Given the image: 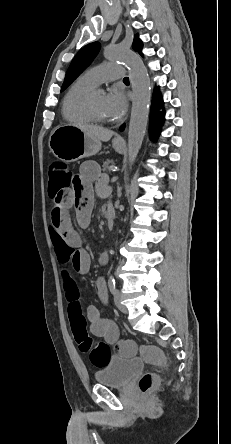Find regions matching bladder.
I'll return each mask as SVG.
<instances>
[{
    "label": "bladder",
    "mask_w": 231,
    "mask_h": 444,
    "mask_svg": "<svg viewBox=\"0 0 231 444\" xmlns=\"http://www.w3.org/2000/svg\"><path fill=\"white\" fill-rule=\"evenodd\" d=\"M142 369L143 362L139 359L112 356L106 365L95 373V380L102 386L123 387Z\"/></svg>",
    "instance_id": "bladder-1"
}]
</instances>
